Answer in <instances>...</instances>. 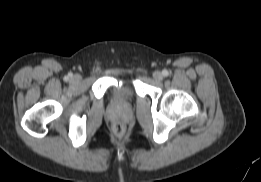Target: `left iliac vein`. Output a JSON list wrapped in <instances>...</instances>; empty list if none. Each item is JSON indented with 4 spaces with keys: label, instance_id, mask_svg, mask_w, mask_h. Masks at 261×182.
Returning a JSON list of instances; mask_svg holds the SVG:
<instances>
[{
    "label": "left iliac vein",
    "instance_id": "1",
    "mask_svg": "<svg viewBox=\"0 0 261 182\" xmlns=\"http://www.w3.org/2000/svg\"><path fill=\"white\" fill-rule=\"evenodd\" d=\"M153 78L155 81H161L163 79V75L160 71H155L153 73Z\"/></svg>",
    "mask_w": 261,
    "mask_h": 182
}]
</instances>
